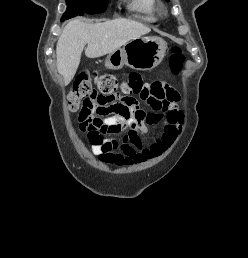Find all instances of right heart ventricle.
Returning a JSON list of instances; mask_svg holds the SVG:
<instances>
[{"label": "right heart ventricle", "instance_id": "right-heart-ventricle-1", "mask_svg": "<svg viewBox=\"0 0 248 258\" xmlns=\"http://www.w3.org/2000/svg\"><path fill=\"white\" fill-rule=\"evenodd\" d=\"M129 9L146 21L154 22L159 14L157 0H129Z\"/></svg>", "mask_w": 248, "mask_h": 258}]
</instances>
